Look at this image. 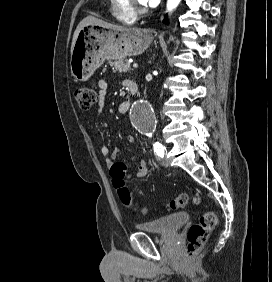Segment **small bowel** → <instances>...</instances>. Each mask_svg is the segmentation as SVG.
Here are the masks:
<instances>
[{
	"mask_svg": "<svg viewBox=\"0 0 272 282\" xmlns=\"http://www.w3.org/2000/svg\"><path fill=\"white\" fill-rule=\"evenodd\" d=\"M108 91V81L106 79H103L99 82V100H98V105L94 109L93 113L95 117L100 116L105 107V97ZM127 140L130 143H133L136 141V137L134 135H129L127 137ZM102 154L105 156V162L109 167H113L115 165V159L119 153V148L115 147L112 151V154L109 156V148L107 146H103L101 149ZM124 166V165H122ZM149 172L148 164L145 160H141L138 164V178H142L146 176ZM126 177L129 179L131 176L127 173Z\"/></svg>",
	"mask_w": 272,
	"mask_h": 282,
	"instance_id": "obj_1",
	"label": "small bowel"
}]
</instances>
